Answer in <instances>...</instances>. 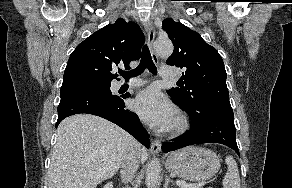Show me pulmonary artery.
<instances>
[{"mask_svg": "<svg viewBox=\"0 0 292 188\" xmlns=\"http://www.w3.org/2000/svg\"><path fill=\"white\" fill-rule=\"evenodd\" d=\"M160 76L164 79H174L176 78V70L173 67H161ZM145 83L142 79L134 78L128 82V85L131 87L141 86Z\"/></svg>", "mask_w": 292, "mask_h": 188, "instance_id": "1", "label": "pulmonary artery"}]
</instances>
